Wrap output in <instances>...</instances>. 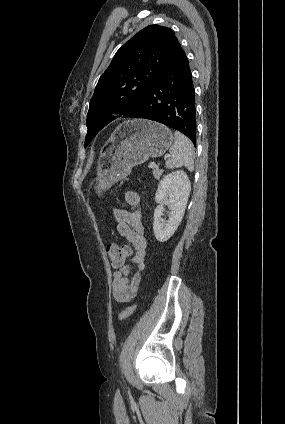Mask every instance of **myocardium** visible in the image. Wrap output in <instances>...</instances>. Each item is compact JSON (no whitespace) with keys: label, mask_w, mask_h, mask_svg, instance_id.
Wrapping results in <instances>:
<instances>
[{"label":"myocardium","mask_w":285,"mask_h":424,"mask_svg":"<svg viewBox=\"0 0 285 424\" xmlns=\"http://www.w3.org/2000/svg\"><path fill=\"white\" fill-rule=\"evenodd\" d=\"M118 113H119L118 111H113V112L111 113V115H112V116H116Z\"/></svg>","instance_id":"myocardium-1"}]
</instances>
